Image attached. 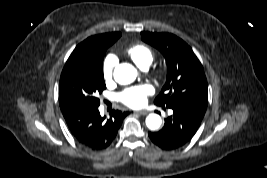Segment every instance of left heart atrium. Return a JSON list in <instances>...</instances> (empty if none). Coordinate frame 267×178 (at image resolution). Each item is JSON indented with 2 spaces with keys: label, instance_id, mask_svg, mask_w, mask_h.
I'll return each instance as SVG.
<instances>
[{
  "label": "left heart atrium",
  "instance_id": "1",
  "mask_svg": "<svg viewBox=\"0 0 267 178\" xmlns=\"http://www.w3.org/2000/svg\"><path fill=\"white\" fill-rule=\"evenodd\" d=\"M153 92L149 84L131 86L118 93L117 100L128 107L139 108L146 104L147 97Z\"/></svg>",
  "mask_w": 267,
  "mask_h": 178
}]
</instances>
